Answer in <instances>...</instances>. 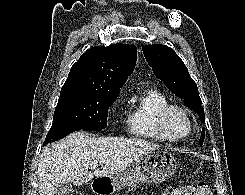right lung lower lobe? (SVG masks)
<instances>
[{
	"label": "right lung lower lobe",
	"mask_w": 245,
	"mask_h": 195,
	"mask_svg": "<svg viewBox=\"0 0 245 195\" xmlns=\"http://www.w3.org/2000/svg\"><path fill=\"white\" fill-rule=\"evenodd\" d=\"M97 130H102V129H89V130H86V131H97Z\"/></svg>",
	"instance_id": "obj_1"
}]
</instances>
